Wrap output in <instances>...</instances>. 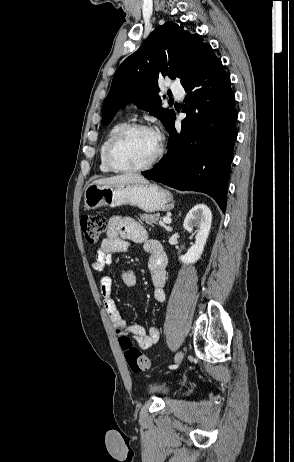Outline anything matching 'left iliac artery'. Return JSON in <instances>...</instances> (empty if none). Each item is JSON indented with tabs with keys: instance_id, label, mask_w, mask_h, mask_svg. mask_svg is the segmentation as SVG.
I'll use <instances>...</instances> for the list:
<instances>
[{
	"instance_id": "44dca946",
	"label": "left iliac artery",
	"mask_w": 294,
	"mask_h": 462,
	"mask_svg": "<svg viewBox=\"0 0 294 462\" xmlns=\"http://www.w3.org/2000/svg\"><path fill=\"white\" fill-rule=\"evenodd\" d=\"M169 368H171V369H176V368H177V366H175V365H171V366H169Z\"/></svg>"
}]
</instances>
